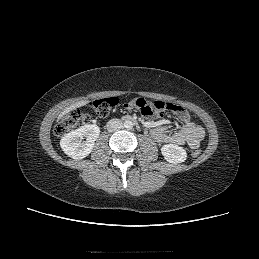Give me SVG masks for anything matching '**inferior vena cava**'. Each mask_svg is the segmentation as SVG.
<instances>
[{
    "instance_id": "602c4592",
    "label": "inferior vena cava",
    "mask_w": 259,
    "mask_h": 259,
    "mask_svg": "<svg viewBox=\"0 0 259 259\" xmlns=\"http://www.w3.org/2000/svg\"><path fill=\"white\" fill-rule=\"evenodd\" d=\"M123 127L122 122L119 119H111L107 123V130L109 132H115L120 130Z\"/></svg>"
}]
</instances>
